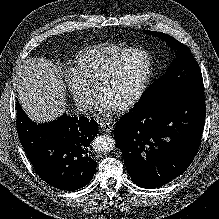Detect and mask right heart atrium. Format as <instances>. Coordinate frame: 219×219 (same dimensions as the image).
I'll return each instance as SVG.
<instances>
[{
  "mask_svg": "<svg viewBox=\"0 0 219 219\" xmlns=\"http://www.w3.org/2000/svg\"><path fill=\"white\" fill-rule=\"evenodd\" d=\"M65 86L72 95L77 109L83 114L90 113L96 104V90L83 82L76 74L70 75L65 80Z\"/></svg>",
  "mask_w": 219,
  "mask_h": 219,
  "instance_id": "d8ad5b80",
  "label": "right heart atrium"
}]
</instances>
